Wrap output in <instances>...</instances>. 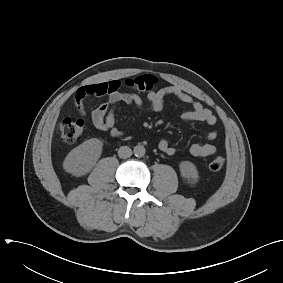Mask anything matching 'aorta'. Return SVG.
Segmentation results:
<instances>
[{"label":"aorta","instance_id":"1","mask_svg":"<svg viewBox=\"0 0 283 283\" xmlns=\"http://www.w3.org/2000/svg\"><path fill=\"white\" fill-rule=\"evenodd\" d=\"M133 152H134V155L136 157L140 158V157H143L145 155L146 150H145L144 146L137 145V146L134 147Z\"/></svg>","mask_w":283,"mask_h":283}]
</instances>
